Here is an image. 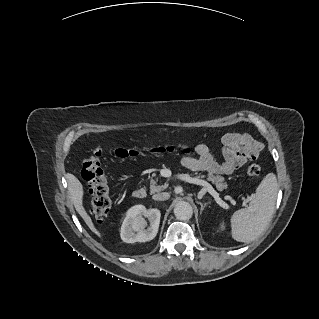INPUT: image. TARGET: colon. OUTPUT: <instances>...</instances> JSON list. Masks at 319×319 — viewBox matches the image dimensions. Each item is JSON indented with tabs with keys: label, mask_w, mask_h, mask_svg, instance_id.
I'll return each mask as SVG.
<instances>
[{
	"label": "colon",
	"mask_w": 319,
	"mask_h": 319,
	"mask_svg": "<svg viewBox=\"0 0 319 319\" xmlns=\"http://www.w3.org/2000/svg\"><path fill=\"white\" fill-rule=\"evenodd\" d=\"M178 150L182 154L192 153V147L189 145L155 144L142 147H125L114 149L113 152L120 158H132L143 151L163 154ZM105 154L103 148L93 149L89 156L84 159L81 168V175L87 182L92 195L91 213L98 221H105L112 208L111 188L102 165V159ZM250 176H258L261 168L257 164H252L247 168Z\"/></svg>",
	"instance_id": "colon-1"
}]
</instances>
